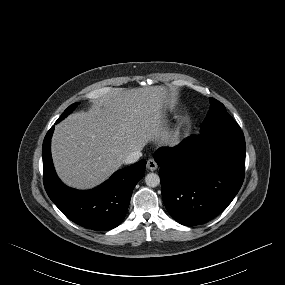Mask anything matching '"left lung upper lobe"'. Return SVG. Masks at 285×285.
Instances as JSON below:
<instances>
[{"instance_id": "obj_1", "label": "left lung upper lobe", "mask_w": 285, "mask_h": 285, "mask_svg": "<svg viewBox=\"0 0 285 285\" xmlns=\"http://www.w3.org/2000/svg\"><path fill=\"white\" fill-rule=\"evenodd\" d=\"M210 110L201 125V133H218L240 131V126L227 113L224 105L214 98H210Z\"/></svg>"}]
</instances>
